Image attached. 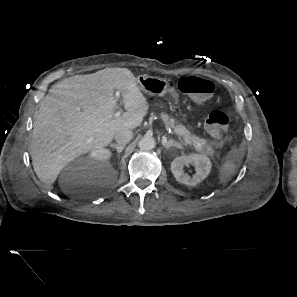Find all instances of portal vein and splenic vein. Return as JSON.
I'll return each mask as SVG.
<instances>
[{"label":"portal vein and splenic vein","mask_w":297,"mask_h":297,"mask_svg":"<svg viewBox=\"0 0 297 297\" xmlns=\"http://www.w3.org/2000/svg\"><path fill=\"white\" fill-rule=\"evenodd\" d=\"M116 97L117 98H119L120 97V93L117 91L116 92ZM121 115V111H117L115 114H114V116L115 117H119ZM184 142L186 143V144H191V142L189 141V140H187V139H184Z\"/></svg>","instance_id":"obj_1"}]
</instances>
